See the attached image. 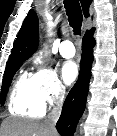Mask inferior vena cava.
Here are the masks:
<instances>
[{"mask_svg": "<svg viewBox=\"0 0 117 136\" xmlns=\"http://www.w3.org/2000/svg\"><path fill=\"white\" fill-rule=\"evenodd\" d=\"M63 95H64V90H61V93L59 95V99H60L59 103L57 104L56 107H54L52 109L51 113L48 115L47 120L45 121L46 126L51 131H55L56 121L58 120V118H59V116L61 114Z\"/></svg>", "mask_w": 117, "mask_h": 136, "instance_id": "602c4592", "label": "inferior vena cava"}]
</instances>
